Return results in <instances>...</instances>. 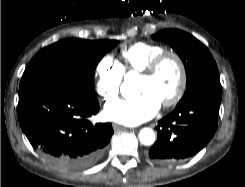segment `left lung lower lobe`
<instances>
[{"label":"left lung lower lobe","instance_id":"obj_1","mask_svg":"<svg viewBox=\"0 0 245 187\" xmlns=\"http://www.w3.org/2000/svg\"><path fill=\"white\" fill-rule=\"evenodd\" d=\"M220 103V86L203 89L178 103L158 122L157 141L149 158L159 164H175L200 151L217 129Z\"/></svg>","mask_w":245,"mask_h":187}]
</instances>
